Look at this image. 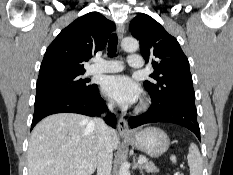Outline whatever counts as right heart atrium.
Listing matches in <instances>:
<instances>
[{"instance_id":"d8ad5b80","label":"right heart atrium","mask_w":233,"mask_h":175,"mask_svg":"<svg viewBox=\"0 0 233 175\" xmlns=\"http://www.w3.org/2000/svg\"><path fill=\"white\" fill-rule=\"evenodd\" d=\"M107 105L110 107V106H111V103H108Z\"/></svg>"}]
</instances>
